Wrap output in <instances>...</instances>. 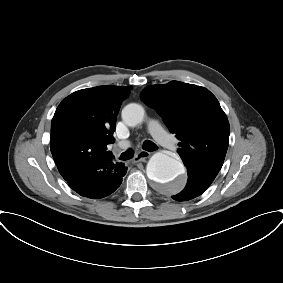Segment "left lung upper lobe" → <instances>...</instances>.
I'll return each mask as SVG.
<instances>
[{
  "mask_svg": "<svg viewBox=\"0 0 283 283\" xmlns=\"http://www.w3.org/2000/svg\"><path fill=\"white\" fill-rule=\"evenodd\" d=\"M141 98L180 140L187 169L215 178L229 144V122L216 97L204 87L171 81L148 86Z\"/></svg>",
  "mask_w": 283,
  "mask_h": 283,
  "instance_id": "1",
  "label": "left lung upper lobe"
}]
</instances>
